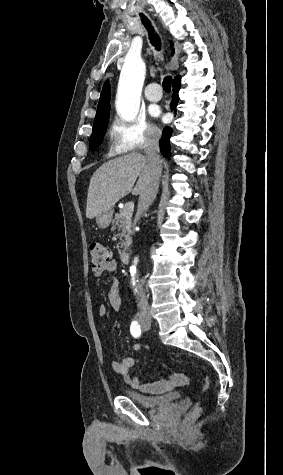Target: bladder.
<instances>
[{
	"label": "bladder",
	"mask_w": 283,
	"mask_h": 475,
	"mask_svg": "<svg viewBox=\"0 0 283 475\" xmlns=\"http://www.w3.org/2000/svg\"><path fill=\"white\" fill-rule=\"evenodd\" d=\"M125 395L133 403L140 405L146 410H152L161 405H176L179 403L181 398V394L175 392H168L161 395L160 397H152L144 395L142 392L133 389H126Z\"/></svg>",
	"instance_id": "bladder-1"
}]
</instances>
